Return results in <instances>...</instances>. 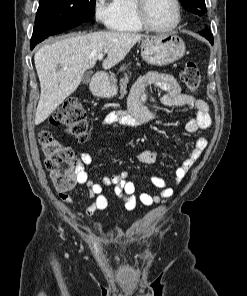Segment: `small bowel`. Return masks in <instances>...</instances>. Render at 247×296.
Returning <instances> with one entry per match:
<instances>
[{
	"mask_svg": "<svg viewBox=\"0 0 247 296\" xmlns=\"http://www.w3.org/2000/svg\"><path fill=\"white\" fill-rule=\"evenodd\" d=\"M152 87H159L163 91V95L159 98L161 105L173 108L190 106L195 109L194 116L185 124V129L189 133L195 134L211 126L210 108L205 101L185 93L179 82L172 76L154 72H149L140 77L132 87L129 96L128 112H112L105 116L103 124L121 127H140L155 120L156 115L146 106L148 94ZM207 146L208 140L205 137L199 136L196 138L190 155L182 161L181 165L174 172L172 180L175 184L178 185L183 181L194 162ZM157 156L158 153L154 150H143L136 153L135 158L141 164H153ZM79 158L77 182L88 187V195L92 199V202L83 210L86 216H92L96 212L104 211L108 207V200L103 194L104 187H113L114 193L124 202L127 211H133L138 201L145 206H152L159 203L161 199L171 197L174 193V190L168 185L170 180L151 177L150 182L158 190V193L142 192L137 197L136 185L132 180L128 179L126 172L105 176L100 183L94 182L89 178L85 169L86 166L92 163L91 155L82 152ZM59 196L67 204H75V200L69 193L61 192Z\"/></svg>",
	"mask_w": 247,
	"mask_h": 296,
	"instance_id": "obj_1",
	"label": "small bowel"
}]
</instances>
